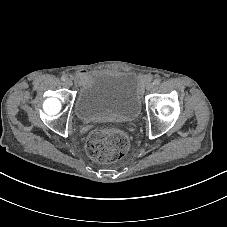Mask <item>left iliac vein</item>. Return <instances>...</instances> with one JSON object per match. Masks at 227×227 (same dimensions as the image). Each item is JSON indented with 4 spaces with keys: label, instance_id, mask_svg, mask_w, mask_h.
I'll return each mask as SVG.
<instances>
[{
    "label": "left iliac vein",
    "instance_id": "4c4485c4",
    "mask_svg": "<svg viewBox=\"0 0 227 227\" xmlns=\"http://www.w3.org/2000/svg\"><path fill=\"white\" fill-rule=\"evenodd\" d=\"M153 87H154V85L152 83H149L146 88L147 89H152Z\"/></svg>",
    "mask_w": 227,
    "mask_h": 227
}]
</instances>
